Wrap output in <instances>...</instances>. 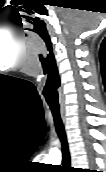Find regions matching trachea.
I'll list each match as a JSON object with an SVG mask.
<instances>
[{
    "label": "trachea",
    "instance_id": "3493384b",
    "mask_svg": "<svg viewBox=\"0 0 106 172\" xmlns=\"http://www.w3.org/2000/svg\"><path fill=\"white\" fill-rule=\"evenodd\" d=\"M50 109L54 118L57 134L62 143V162L65 166H70V154L67 144V138L64 130V125L60 116L59 108L50 107Z\"/></svg>",
    "mask_w": 106,
    "mask_h": 172
}]
</instances>
